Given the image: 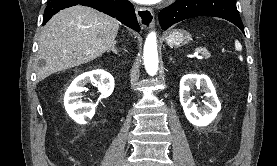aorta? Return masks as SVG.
Segmentation results:
<instances>
[{
	"instance_id": "1",
	"label": "aorta",
	"mask_w": 277,
	"mask_h": 166,
	"mask_svg": "<svg viewBox=\"0 0 277 166\" xmlns=\"http://www.w3.org/2000/svg\"><path fill=\"white\" fill-rule=\"evenodd\" d=\"M144 65L147 73L151 76L156 75L158 70V52H157V36L153 31L149 33L144 45Z\"/></svg>"
}]
</instances>
